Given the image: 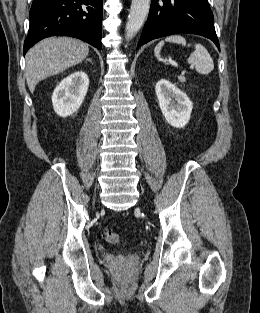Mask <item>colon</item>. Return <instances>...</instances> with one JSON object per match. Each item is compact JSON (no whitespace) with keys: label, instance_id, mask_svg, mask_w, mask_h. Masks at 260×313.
Instances as JSON below:
<instances>
[{"label":"colon","instance_id":"obj_1","mask_svg":"<svg viewBox=\"0 0 260 313\" xmlns=\"http://www.w3.org/2000/svg\"><path fill=\"white\" fill-rule=\"evenodd\" d=\"M103 237L105 241L108 242L109 244L117 245L120 243L119 235L112 230L109 229L105 230L103 233Z\"/></svg>","mask_w":260,"mask_h":313}]
</instances>
